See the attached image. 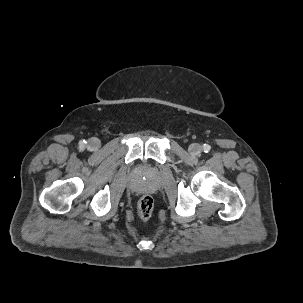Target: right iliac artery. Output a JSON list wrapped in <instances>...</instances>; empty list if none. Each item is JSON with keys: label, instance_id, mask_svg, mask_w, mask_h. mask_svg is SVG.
I'll return each mask as SVG.
<instances>
[{"label": "right iliac artery", "instance_id": "right-iliac-artery-1", "mask_svg": "<svg viewBox=\"0 0 303 303\" xmlns=\"http://www.w3.org/2000/svg\"><path fill=\"white\" fill-rule=\"evenodd\" d=\"M85 143H86L85 141L81 142V147H84Z\"/></svg>", "mask_w": 303, "mask_h": 303}]
</instances>
